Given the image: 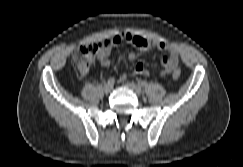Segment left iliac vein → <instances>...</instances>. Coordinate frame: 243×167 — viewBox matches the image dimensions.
<instances>
[{"mask_svg":"<svg viewBox=\"0 0 243 167\" xmlns=\"http://www.w3.org/2000/svg\"><path fill=\"white\" fill-rule=\"evenodd\" d=\"M124 86L126 88L132 90L137 95H141L142 94V89L138 85L133 83V82H125Z\"/></svg>","mask_w":243,"mask_h":167,"instance_id":"left-iliac-vein-1","label":"left iliac vein"}]
</instances>
